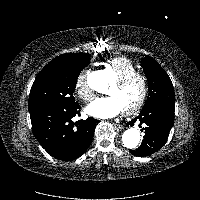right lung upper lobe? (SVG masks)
Returning a JSON list of instances; mask_svg holds the SVG:
<instances>
[{"mask_svg":"<svg viewBox=\"0 0 200 200\" xmlns=\"http://www.w3.org/2000/svg\"><path fill=\"white\" fill-rule=\"evenodd\" d=\"M72 56V53H69V54H63V55H60L56 58H54L51 62H49L45 67H49L51 65H54L60 61H63L65 59H67L68 57Z\"/></svg>","mask_w":200,"mask_h":200,"instance_id":"cb5924a9","label":"right lung upper lobe"}]
</instances>
